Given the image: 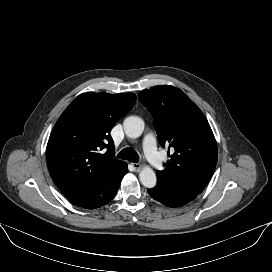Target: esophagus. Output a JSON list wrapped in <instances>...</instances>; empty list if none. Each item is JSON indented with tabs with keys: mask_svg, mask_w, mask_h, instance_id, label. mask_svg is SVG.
Segmentation results:
<instances>
[{
	"mask_svg": "<svg viewBox=\"0 0 272 272\" xmlns=\"http://www.w3.org/2000/svg\"><path fill=\"white\" fill-rule=\"evenodd\" d=\"M131 165L135 171H139L141 169V165L139 163H132Z\"/></svg>",
	"mask_w": 272,
	"mask_h": 272,
	"instance_id": "esophagus-1",
	"label": "esophagus"
}]
</instances>
